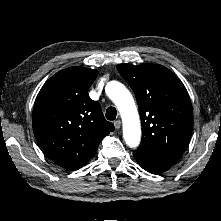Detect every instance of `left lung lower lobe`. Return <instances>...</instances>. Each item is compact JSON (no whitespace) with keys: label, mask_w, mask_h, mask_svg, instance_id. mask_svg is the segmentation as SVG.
<instances>
[{"label":"left lung lower lobe","mask_w":221,"mask_h":221,"mask_svg":"<svg viewBox=\"0 0 221 221\" xmlns=\"http://www.w3.org/2000/svg\"><path fill=\"white\" fill-rule=\"evenodd\" d=\"M133 154L138 164L152 174H161L178 161L173 158L156 155L149 150L141 148H138Z\"/></svg>","instance_id":"left-lung-lower-lobe-1"}]
</instances>
